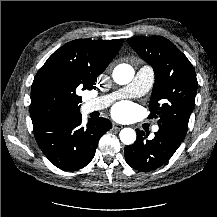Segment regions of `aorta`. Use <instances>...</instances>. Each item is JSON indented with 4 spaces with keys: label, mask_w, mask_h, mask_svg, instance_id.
Instances as JSON below:
<instances>
[{
    "label": "aorta",
    "mask_w": 217,
    "mask_h": 217,
    "mask_svg": "<svg viewBox=\"0 0 217 217\" xmlns=\"http://www.w3.org/2000/svg\"><path fill=\"white\" fill-rule=\"evenodd\" d=\"M113 80L119 85H126L134 77V69L129 64H119L113 70ZM120 140L126 145H131L136 140V132L132 128H123L120 131Z\"/></svg>",
    "instance_id": "obj_1"
}]
</instances>
